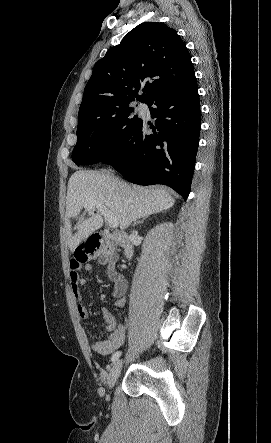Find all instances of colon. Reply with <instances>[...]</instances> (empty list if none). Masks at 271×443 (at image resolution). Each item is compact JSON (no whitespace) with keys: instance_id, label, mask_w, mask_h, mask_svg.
<instances>
[{"instance_id":"colon-1","label":"colon","mask_w":271,"mask_h":443,"mask_svg":"<svg viewBox=\"0 0 271 443\" xmlns=\"http://www.w3.org/2000/svg\"><path fill=\"white\" fill-rule=\"evenodd\" d=\"M114 251L113 244L94 236L77 248L73 259L78 263H86L98 258L104 263H110L113 260Z\"/></svg>"}]
</instances>
